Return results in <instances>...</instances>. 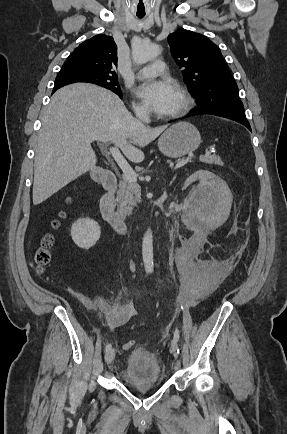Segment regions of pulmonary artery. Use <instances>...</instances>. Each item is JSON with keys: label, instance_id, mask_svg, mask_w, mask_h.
<instances>
[{"label": "pulmonary artery", "instance_id": "1", "mask_svg": "<svg viewBox=\"0 0 287 434\" xmlns=\"http://www.w3.org/2000/svg\"><path fill=\"white\" fill-rule=\"evenodd\" d=\"M166 69L165 63L161 60H155L150 65L142 68L137 72V78L146 79L164 74Z\"/></svg>", "mask_w": 287, "mask_h": 434}]
</instances>
